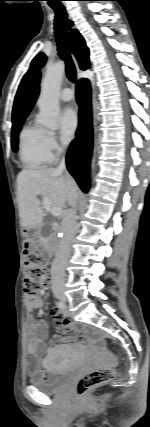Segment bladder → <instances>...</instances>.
Returning <instances> with one entry per match:
<instances>
[{
    "instance_id": "1",
    "label": "bladder",
    "mask_w": 150,
    "mask_h": 427,
    "mask_svg": "<svg viewBox=\"0 0 150 427\" xmlns=\"http://www.w3.org/2000/svg\"><path fill=\"white\" fill-rule=\"evenodd\" d=\"M75 368L47 366L45 377L41 380H31L33 386L46 394H55L60 392L70 380Z\"/></svg>"
}]
</instances>
